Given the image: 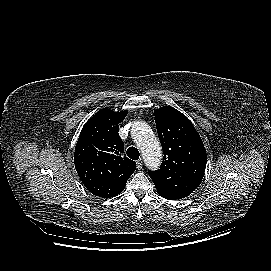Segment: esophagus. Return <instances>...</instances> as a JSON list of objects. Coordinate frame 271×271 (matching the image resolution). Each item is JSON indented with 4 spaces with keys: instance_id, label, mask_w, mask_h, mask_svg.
<instances>
[{
    "instance_id": "obj_1",
    "label": "esophagus",
    "mask_w": 271,
    "mask_h": 271,
    "mask_svg": "<svg viewBox=\"0 0 271 271\" xmlns=\"http://www.w3.org/2000/svg\"><path fill=\"white\" fill-rule=\"evenodd\" d=\"M137 169L138 170H141L142 169V166H143V161H142V159H139L138 161H137Z\"/></svg>"
}]
</instances>
